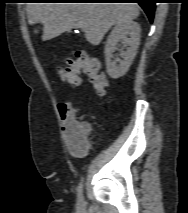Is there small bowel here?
<instances>
[{
  "mask_svg": "<svg viewBox=\"0 0 188 213\" xmlns=\"http://www.w3.org/2000/svg\"><path fill=\"white\" fill-rule=\"evenodd\" d=\"M58 113L64 126V136L70 153L76 157L83 158L89 151V136L93 126L89 121L77 118V108L67 103L58 105ZM77 139L79 145L74 142Z\"/></svg>",
  "mask_w": 188,
  "mask_h": 213,
  "instance_id": "small-bowel-1",
  "label": "small bowel"
}]
</instances>
